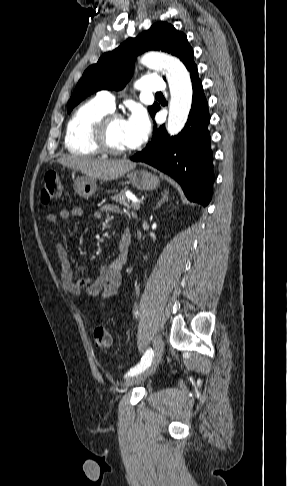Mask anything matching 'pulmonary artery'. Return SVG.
Instances as JSON below:
<instances>
[{"instance_id":"1","label":"pulmonary artery","mask_w":287,"mask_h":486,"mask_svg":"<svg viewBox=\"0 0 287 486\" xmlns=\"http://www.w3.org/2000/svg\"><path fill=\"white\" fill-rule=\"evenodd\" d=\"M138 88L141 91L148 93L162 92L165 90V84L159 76L147 75L139 80ZM96 98L111 110L114 108L115 98L112 93L108 91H100Z\"/></svg>"}]
</instances>
